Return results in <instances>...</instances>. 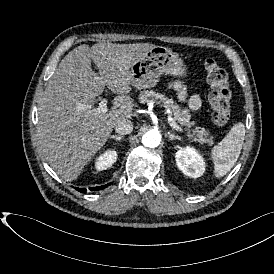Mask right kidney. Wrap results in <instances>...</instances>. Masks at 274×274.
Instances as JSON below:
<instances>
[{
    "mask_svg": "<svg viewBox=\"0 0 274 274\" xmlns=\"http://www.w3.org/2000/svg\"><path fill=\"white\" fill-rule=\"evenodd\" d=\"M116 161V152L115 151H106L104 155L100 156L96 160V169L105 170L109 168Z\"/></svg>",
    "mask_w": 274,
    "mask_h": 274,
    "instance_id": "ca27d5eb",
    "label": "right kidney"
}]
</instances>
